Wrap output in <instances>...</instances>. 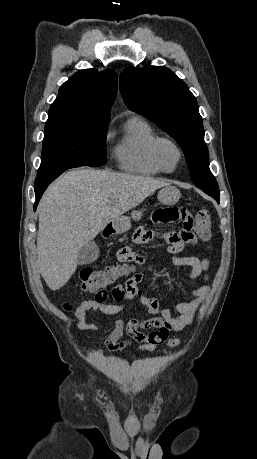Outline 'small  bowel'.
<instances>
[{
	"mask_svg": "<svg viewBox=\"0 0 257 459\" xmlns=\"http://www.w3.org/2000/svg\"><path fill=\"white\" fill-rule=\"evenodd\" d=\"M148 226H169L171 232L161 239L159 232L152 234L151 227H134L131 243L119 246L115 251L117 264H147L156 260V253L145 249L144 246L135 244H151L152 239L164 242L167 257L175 267H188L184 274L186 280H195L200 276L208 279L207 272L210 268L208 259H199L196 256H182L181 251L186 247H195L196 228L194 227L193 214L190 205H155L154 213H147ZM178 222L183 229H176ZM152 234V236H151ZM139 275L129 278L125 284H117L106 293L117 303L98 301L96 298L81 302L74 312L77 319V332L98 331L101 326L88 321L90 313H100L107 316L116 315L138 300L146 309L151 318L139 320L119 318L113 321L112 329L105 341L106 347L111 351L122 350L135 341L142 343L139 352H152L156 347L165 342L171 331H181L195 318L201 304L209 293L208 286L192 288L186 292L189 301L180 302L172 306H162L158 298L146 294L139 287ZM163 291L170 295L169 288L164 285ZM127 334L128 340H122Z\"/></svg>",
	"mask_w": 257,
	"mask_h": 459,
	"instance_id": "small-bowel-1",
	"label": "small bowel"
}]
</instances>
